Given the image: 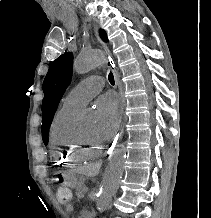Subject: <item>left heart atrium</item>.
Instances as JSON below:
<instances>
[{
  "label": "left heart atrium",
  "instance_id": "obj_1",
  "mask_svg": "<svg viewBox=\"0 0 211 218\" xmlns=\"http://www.w3.org/2000/svg\"><path fill=\"white\" fill-rule=\"evenodd\" d=\"M97 112V134L102 139L111 138L120 123V107L116 96L107 92L95 101Z\"/></svg>",
  "mask_w": 211,
  "mask_h": 218
}]
</instances>
